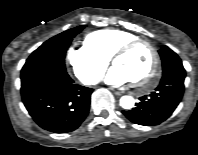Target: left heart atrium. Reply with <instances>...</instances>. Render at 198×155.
Here are the masks:
<instances>
[{"label": "left heart atrium", "instance_id": "left-heart-atrium-1", "mask_svg": "<svg viewBox=\"0 0 198 155\" xmlns=\"http://www.w3.org/2000/svg\"><path fill=\"white\" fill-rule=\"evenodd\" d=\"M106 83L113 86H122L133 82L130 76L119 66L114 65L105 77Z\"/></svg>", "mask_w": 198, "mask_h": 155}]
</instances>
